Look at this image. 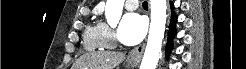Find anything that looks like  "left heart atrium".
I'll use <instances>...</instances> for the list:
<instances>
[{
    "label": "left heart atrium",
    "mask_w": 246,
    "mask_h": 69,
    "mask_svg": "<svg viewBox=\"0 0 246 69\" xmlns=\"http://www.w3.org/2000/svg\"><path fill=\"white\" fill-rule=\"evenodd\" d=\"M146 20L138 13H127L123 16L119 30V41L125 45L139 43L146 32Z\"/></svg>",
    "instance_id": "left-heart-atrium-1"
}]
</instances>
